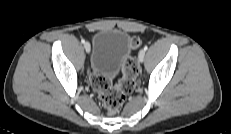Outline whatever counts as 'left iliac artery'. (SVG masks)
I'll list each match as a JSON object with an SVG mask.
<instances>
[{
	"mask_svg": "<svg viewBox=\"0 0 231 134\" xmlns=\"http://www.w3.org/2000/svg\"><path fill=\"white\" fill-rule=\"evenodd\" d=\"M147 49H148V46H145V47H144V51H146Z\"/></svg>",
	"mask_w": 231,
	"mask_h": 134,
	"instance_id": "44dca946",
	"label": "left iliac artery"
}]
</instances>
